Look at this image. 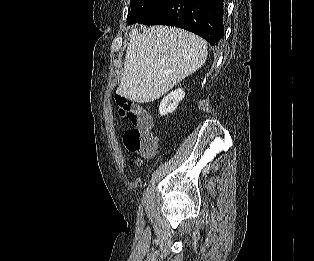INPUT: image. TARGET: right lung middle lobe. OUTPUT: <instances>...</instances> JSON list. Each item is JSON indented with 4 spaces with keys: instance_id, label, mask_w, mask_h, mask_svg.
Here are the masks:
<instances>
[{
    "instance_id": "right-lung-middle-lobe-1",
    "label": "right lung middle lobe",
    "mask_w": 314,
    "mask_h": 261,
    "mask_svg": "<svg viewBox=\"0 0 314 261\" xmlns=\"http://www.w3.org/2000/svg\"><path fill=\"white\" fill-rule=\"evenodd\" d=\"M167 1L168 0H131L130 24L143 20Z\"/></svg>"
}]
</instances>
